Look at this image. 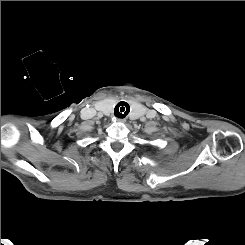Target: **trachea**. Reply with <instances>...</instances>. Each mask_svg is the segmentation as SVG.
<instances>
[{
	"mask_svg": "<svg viewBox=\"0 0 245 245\" xmlns=\"http://www.w3.org/2000/svg\"><path fill=\"white\" fill-rule=\"evenodd\" d=\"M130 112V105L127 102H119L114 109V114L118 118H125Z\"/></svg>",
	"mask_w": 245,
	"mask_h": 245,
	"instance_id": "trachea-1",
	"label": "trachea"
}]
</instances>
